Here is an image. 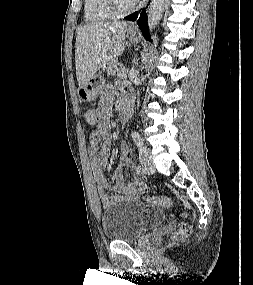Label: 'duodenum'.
I'll return each mask as SVG.
<instances>
[{
    "label": "duodenum",
    "mask_w": 253,
    "mask_h": 285,
    "mask_svg": "<svg viewBox=\"0 0 253 285\" xmlns=\"http://www.w3.org/2000/svg\"><path fill=\"white\" fill-rule=\"evenodd\" d=\"M132 108V100L130 97H127L123 100L121 111H120V121L121 123H125L131 113Z\"/></svg>",
    "instance_id": "obj_1"
}]
</instances>
